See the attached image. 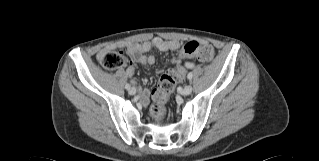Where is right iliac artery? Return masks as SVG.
Returning <instances> with one entry per match:
<instances>
[{"label": "right iliac artery", "instance_id": "obj_1", "mask_svg": "<svg viewBox=\"0 0 319 161\" xmlns=\"http://www.w3.org/2000/svg\"><path fill=\"white\" fill-rule=\"evenodd\" d=\"M126 89H130V84H126Z\"/></svg>", "mask_w": 319, "mask_h": 161}]
</instances>
